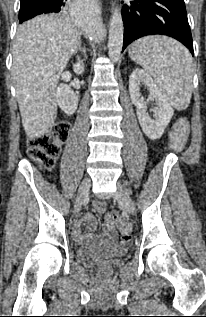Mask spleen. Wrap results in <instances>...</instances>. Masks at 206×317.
<instances>
[{
	"instance_id": "obj_1",
	"label": "spleen",
	"mask_w": 206,
	"mask_h": 317,
	"mask_svg": "<svg viewBox=\"0 0 206 317\" xmlns=\"http://www.w3.org/2000/svg\"><path fill=\"white\" fill-rule=\"evenodd\" d=\"M129 55L153 76L172 107L178 110L188 107L193 88V59L183 45L169 37H143L131 45Z\"/></svg>"
}]
</instances>
